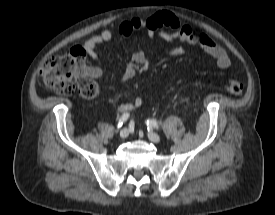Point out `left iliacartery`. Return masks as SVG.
I'll return each instance as SVG.
<instances>
[{"mask_svg": "<svg viewBox=\"0 0 275 215\" xmlns=\"http://www.w3.org/2000/svg\"><path fill=\"white\" fill-rule=\"evenodd\" d=\"M146 124H147L148 130L152 128L159 129V125L154 119H148Z\"/></svg>", "mask_w": 275, "mask_h": 215, "instance_id": "left-iliac-artery-1", "label": "left iliac artery"}]
</instances>
